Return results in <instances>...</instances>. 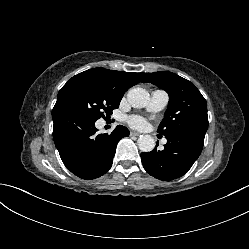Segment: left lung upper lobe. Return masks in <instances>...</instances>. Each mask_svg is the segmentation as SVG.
<instances>
[{
	"label": "left lung upper lobe",
	"mask_w": 249,
	"mask_h": 249,
	"mask_svg": "<svg viewBox=\"0 0 249 249\" xmlns=\"http://www.w3.org/2000/svg\"><path fill=\"white\" fill-rule=\"evenodd\" d=\"M145 74L144 82L155 84L169 94L168 108L157 132L165 136L180 132L205 135L207 103L194 84L169 71Z\"/></svg>",
	"instance_id": "1"
}]
</instances>
